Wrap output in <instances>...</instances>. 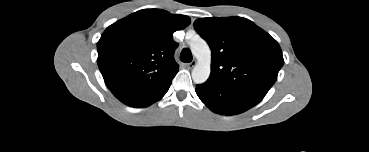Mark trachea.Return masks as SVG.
I'll list each match as a JSON object with an SVG mask.
<instances>
[{
	"mask_svg": "<svg viewBox=\"0 0 369 152\" xmlns=\"http://www.w3.org/2000/svg\"><path fill=\"white\" fill-rule=\"evenodd\" d=\"M180 59L182 62L189 63L192 61V53L188 48L181 51Z\"/></svg>",
	"mask_w": 369,
	"mask_h": 152,
	"instance_id": "3493384b",
	"label": "trachea"
}]
</instances>
